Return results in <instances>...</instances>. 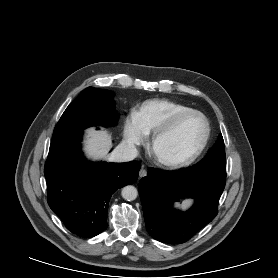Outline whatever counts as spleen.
<instances>
[{
    "instance_id": "obj_1",
    "label": "spleen",
    "mask_w": 278,
    "mask_h": 278,
    "mask_svg": "<svg viewBox=\"0 0 278 278\" xmlns=\"http://www.w3.org/2000/svg\"><path fill=\"white\" fill-rule=\"evenodd\" d=\"M192 201L191 200H185L182 202V204H176V207H180L182 209H187L188 207H190Z\"/></svg>"
}]
</instances>
